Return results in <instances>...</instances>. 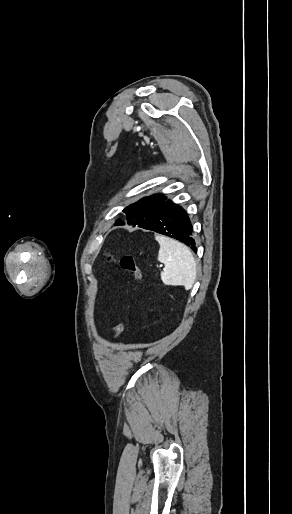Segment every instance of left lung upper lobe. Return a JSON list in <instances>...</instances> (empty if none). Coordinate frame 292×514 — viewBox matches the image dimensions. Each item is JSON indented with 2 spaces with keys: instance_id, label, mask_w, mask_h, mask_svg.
<instances>
[{
  "instance_id": "obj_1",
  "label": "left lung upper lobe",
  "mask_w": 292,
  "mask_h": 514,
  "mask_svg": "<svg viewBox=\"0 0 292 514\" xmlns=\"http://www.w3.org/2000/svg\"><path fill=\"white\" fill-rule=\"evenodd\" d=\"M163 195H152L140 199L139 201L126 207L123 212L129 225L146 228L163 211L167 201ZM121 220H117L115 225H124Z\"/></svg>"
}]
</instances>
